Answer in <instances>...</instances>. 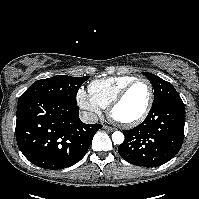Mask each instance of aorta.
I'll list each match as a JSON object with an SVG mask.
<instances>
[{
  "label": "aorta",
  "instance_id": "1",
  "mask_svg": "<svg viewBox=\"0 0 199 199\" xmlns=\"http://www.w3.org/2000/svg\"><path fill=\"white\" fill-rule=\"evenodd\" d=\"M112 141L114 144H122L124 141V134L120 131L113 132Z\"/></svg>",
  "mask_w": 199,
  "mask_h": 199
}]
</instances>
